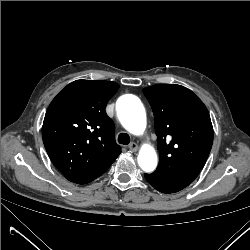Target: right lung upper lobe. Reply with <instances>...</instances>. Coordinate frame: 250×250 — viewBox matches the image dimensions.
I'll use <instances>...</instances> for the list:
<instances>
[{
  "instance_id": "right-lung-upper-lobe-1",
  "label": "right lung upper lobe",
  "mask_w": 250,
  "mask_h": 250,
  "mask_svg": "<svg viewBox=\"0 0 250 250\" xmlns=\"http://www.w3.org/2000/svg\"><path fill=\"white\" fill-rule=\"evenodd\" d=\"M118 88L115 82L77 80L50 103L42 138L49 158L65 177L96 170L121 153L114 123L105 112Z\"/></svg>"
}]
</instances>
